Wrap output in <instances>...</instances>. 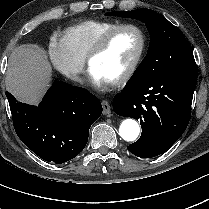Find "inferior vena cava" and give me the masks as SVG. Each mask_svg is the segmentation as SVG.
<instances>
[{"instance_id":"602c4592","label":"inferior vena cava","mask_w":209,"mask_h":209,"mask_svg":"<svg viewBox=\"0 0 209 209\" xmlns=\"http://www.w3.org/2000/svg\"><path fill=\"white\" fill-rule=\"evenodd\" d=\"M72 80L76 81V82H79V83H83V80L81 77H79L78 75H73L71 77Z\"/></svg>"}]
</instances>
